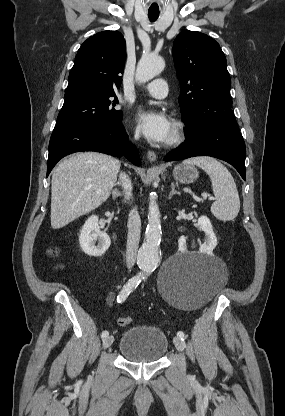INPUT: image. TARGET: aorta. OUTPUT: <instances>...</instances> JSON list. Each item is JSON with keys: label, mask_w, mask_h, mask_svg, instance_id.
<instances>
[{"label": "aorta", "mask_w": 285, "mask_h": 416, "mask_svg": "<svg viewBox=\"0 0 285 416\" xmlns=\"http://www.w3.org/2000/svg\"><path fill=\"white\" fill-rule=\"evenodd\" d=\"M165 67L164 60L155 55H144L137 65L135 78L145 83L159 75ZM161 241L160 212L156 196L150 195L148 225L145 239L137 255V265L145 275H150L160 262L159 244Z\"/></svg>", "instance_id": "obj_1"}]
</instances>
